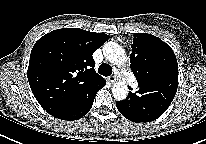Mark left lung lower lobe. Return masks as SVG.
<instances>
[{
	"instance_id": "0a47b994",
	"label": "left lung lower lobe",
	"mask_w": 206,
	"mask_h": 144,
	"mask_svg": "<svg viewBox=\"0 0 206 144\" xmlns=\"http://www.w3.org/2000/svg\"><path fill=\"white\" fill-rule=\"evenodd\" d=\"M146 88H140L136 93L129 92L128 97L123 101H117L116 106L119 112L128 120L133 122H151L160 117L169 107L166 98L151 97L145 93ZM132 103L137 108H132Z\"/></svg>"
}]
</instances>
